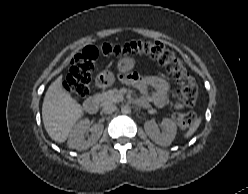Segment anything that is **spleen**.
<instances>
[{
    "instance_id": "obj_1",
    "label": "spleen",
    "mask_w": 248,
    "mask_h": 194,
    "mask_svg": "<svg viewBox=\"0 0 248 194\" xmlns=\"http://www.w3.org/2000/svg\"><path fill=\"white\" fill-rule=\"evenodd\" d=\"M200 123H201V119L199 118L198 120L195 121L193 126L188 130L185 137L189 138L190 136H192L194 132L197 130V128L199 127Z\"/></svg>"
}]
</instances>
